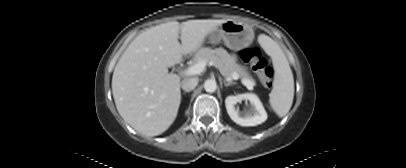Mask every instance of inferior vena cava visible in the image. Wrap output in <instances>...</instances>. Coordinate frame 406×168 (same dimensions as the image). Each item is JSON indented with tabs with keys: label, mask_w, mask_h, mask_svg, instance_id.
<instances>
[{
	"label": "inferior vena cava",
	"mask_w": 406,
	"mask_h": 168,
	"mask_svg": "<svg viewBox=\"0 0 406 168\" xmlns=\"http://www.w3.org/2000/svg\"><path fill=\"white\" fill-rule=\"evenodd\" d=\"M198 84V79L196 78H185L181 82V87L185 92L192 91Z\"/></svg>",
	"instance_id": "inferior-vena-cava-1"
}]
</instances>
